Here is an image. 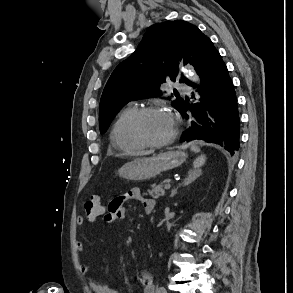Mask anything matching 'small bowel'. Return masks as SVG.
<instances>
[{"mask_svg": "<svg viewBox=\"0 0 293 293\" xmlns=\"http://www.w3.org/2000/svg\"><path fill=\"white\" fill-rule=\"evenodd\" d=\"M131 200H138L141 202L146 213H151L154 209L155 202L151 198L144 197L139 188H132L121 196L113 198L104 210V220L107 223H116L126 218L125 203ZM78 224H83V219H78ZM77 250L85 254V248L82 242L76 243ZM82 273L86 274L89 271V266L82 264L80 266ZM140 282L142 284L143 293H155V284L153 274L149 271H142L140 273ZM88 284L94 293H120L119 290L103 285L93 278L88 279Z\"/></svg>", "mask_w": 293, "mask_h": 293, "instance_id": "obj_1", "label": "small bowel"}]
</instances>
